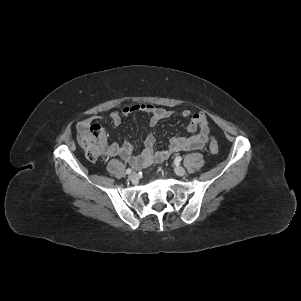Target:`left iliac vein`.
I'll list each match as a JSON object with an SVG mask.
<instances>
[{"instance_id":"1","label":"left iliac vein","mask_w":301,"mask_h":301,"mask_svg":"<svg viewBox=\"0 0 301 301\" xmlns=\"http://www.w3.org/2000/svg\"><path fill=\"white\" fill-rule=\"evenodd\" d=\"M174 171L178 176H184L186 174L185 169L179 165L175 166Z\"/></svg>"}]
</instances>
